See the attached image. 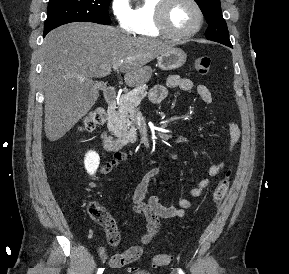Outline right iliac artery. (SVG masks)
<instances>
[{
  "label": "right iliac artery",
  "mask_w": 289,
  "mask_h": 274,
  "mask_svg": "<svg viewBox=\"0 0 289 274\" xmlns=\"http://www.w3.org/2000/svg\"><path fill=\"white\" fill-rule=\"evenodd\" d=\"M104 271V268H98L97 274H102Z\"/></svg>",
  "instance_id": "obj_1"
}]
</instances>
